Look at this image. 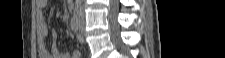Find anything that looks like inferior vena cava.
Masks as SVG:
<instances>
[{
  "instance_id": "inferior-vena-cava-1",
  "label": "inferior vena cava",
  "mask_w": 225,
  "mask_h": 58,
  "mask_svg": "<svg viewBox=\"0 0 225 58\" xmlns=\"http://www.w3.org/2000/svg\"><path fill=\"white\" fill-rule=\"evenodd\" d=\"M78 12H79L80 17L83 19V13H82V10H81V8H80V7H79Z\"/></svg>"
}]
</instances>
